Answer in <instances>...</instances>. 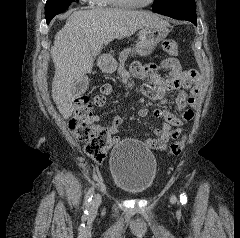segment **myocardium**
<instances>
[{
  "mask_svg": "<svg viewBox=\"0 0 240 238\" xmlns=\"http://www.w3.org/2000/svg\"><path fill=\"white\" fill-rule=\"evenodd\" d=\"M155 0H148L145 3H137V2H131L128 0H115V2L121 6V7H125V8H142V7H147L149 5H151Z\"/></svg>",
  "mask_w": 240,
  "mask_h": 238,
  "instance_id": "obj_1",
  "label": "myocardium"
}]
</instances>
